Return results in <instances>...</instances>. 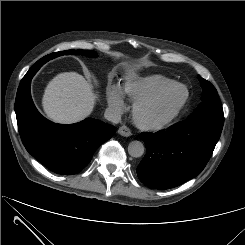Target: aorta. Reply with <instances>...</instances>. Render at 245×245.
Listing matches in <instances>:
<instances>
[{
    "instance_id": "aorta-1",
    "label": "aorta",
    "mask_w": 245,
    "mask_h": 245,
    "mask_svg": "<svg viewBox=\"0 0 245 245\" xmlns=\"http://www.w3.org/2000/svg\"><path fill=\"white\" fill-rule=\"evenodd\" d=\"M128 153L135 158L141 157L144 153L143 143L137 140L130 142L128 145Z\"/></svg>"
}]
</instances>
